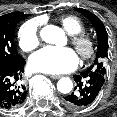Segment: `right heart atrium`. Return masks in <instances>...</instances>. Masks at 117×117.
Listing matches in <instances>:
<instances>
[{
    "instance_id": "obj_1",
    "label": "right heart atrium",
    "mask_w": 117,
    "mask_h": 117,
    "mask_svg": "<svg viewBox=\"0 0 117 117\" xmlns=\"http://www.w3.org/2000/svg\"><path fill=\"white\" fill-rule=\"evenodd\" d=\"M18 40L24 51L36 49L40 44V19H31L22 24L18 31Z\"/></svg>"
}]
</instances>
